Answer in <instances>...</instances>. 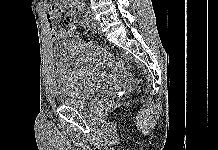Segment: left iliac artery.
I'll list each match as a JSON object with an SVG mask.
<instances>
[{
    "instance_id": "obj_1",
    "label": "left iliac artery",
    "mask_w": 218,
    "mask_h": 150,
    "mask_svg": "<svg viewBox=\"0 0 218 150\" xmlns=\"http://www.w3.org/2000/svg\"><path fill=\"white\" fill-rule=\"evenodd\" d=\"M81 16H82V20H84L82 23L85 24V25H88L87 15H85V14L83 13Z\"/></svg>"
}]
</instances>
